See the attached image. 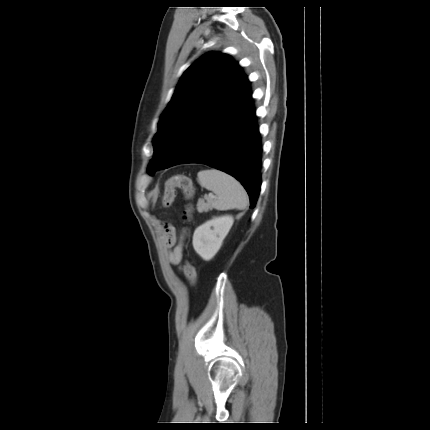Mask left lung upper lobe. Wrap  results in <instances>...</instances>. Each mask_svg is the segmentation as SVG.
Here are the masks:
<instances>
[{
  "instance_id": "1",
  "label": "left lung upper lobe",
  "mask_w": 430,
  "mask_h": 430,
  "mask_svg": "<svg viewBox=\"0 0 430 430\" xmlns=\"http://www.w3.org/2000/svg\"><path fill=\"white\" fill-rule=\"evenodd\" d=\"M251 99V83L231 56L209 52L196 60L183 73L161 115L148 174L153 175L182 150L195 127L207 116L217 114L229 119L239 114Z\"/></svg>"
}]
</instances>
